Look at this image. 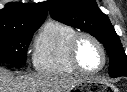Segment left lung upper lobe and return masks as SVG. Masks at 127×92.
I'll list each match as a JSON object with an SVG mask.
<instances>
[{"label":"left lung upper lobe","instance_id":"1","mask_svg":"<svg viewBox=\"0 0 127 92\" xmlns=\"http://www.w3.org/2000/svg\"><path fill=\"white\" fill-rule=\"evenodd\" d=\"M49 11L55 20L90 33L104 45L111 77L127 76V56L119 36L95 0H50Z\"/></svg>","mask_w":127,"mask_h":92}]
</instances>
